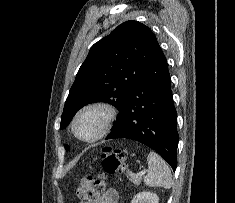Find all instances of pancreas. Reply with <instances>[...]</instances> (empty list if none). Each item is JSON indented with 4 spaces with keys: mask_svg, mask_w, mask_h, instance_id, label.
I'll use <instances>...</instances> for the list:
<instances>
[{
    "mask_svg": "<svg viewBox=\"0 0 235 203\" xmlns=\"http://www.w3.org/2000/svg\"><path fill=\"white\" fill-rule=\"evenodd\" d=\"M127 178L135 185H140L141 183V178L131 172H127Z\"/></svg>",
    "mask_w": 235,
    "mask_h": 203,
    "instance_id": "cf45deb5",
    "label": "pancreas"
}]
</instances>
